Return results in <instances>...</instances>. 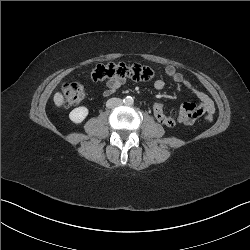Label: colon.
<instances>
[{"instance_id":"colon-1","label":"colon","mask_w":250,"mask_h":250,"mask_svg":"<svg viewBox=\"0 0 250 250\" xmlns=\"http://www.w3.org/2000/svg\"><path fill=\"white\" fill-rule=\"evenodd\" d=\"M154 70L148 66L139 64L126 65L124 63H109L96 66L91 72V78L94 81H103L106 79H131L134 81H150L153 79ZM64 104L68 107L79 104L86 96L84 86L78 82L65 83L61 88ZM213 115L206 113L205 121L210 123Z\"/></svg>"}]
</instances>
